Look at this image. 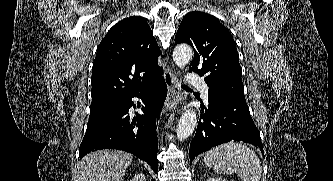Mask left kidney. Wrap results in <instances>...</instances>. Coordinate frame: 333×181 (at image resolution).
I'll list each match as a JSON object with an SVG mask.
<instances>
[{
	"label": "left kidney",
	"instance_id": "left-kidney-1",
	"mask_svg": "<svg viewBox=\"0 0 333 181\" xmlns=\"http://www.w3.org/2000/svg\"><path fill=\"white\" fill-rule=\"evenodd\" d=\"M207 181H226V180L219 178V177H210V178H208Z\"/></svg>",
	"mask_w": 333,
	"mask_h": 181
}]
</instances>
